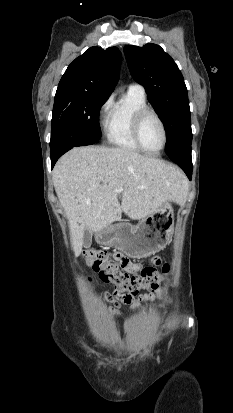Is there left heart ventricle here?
<instances>
[{
  "label": "left heart ventricle",
  "mask_w": 233,
  "mask_h": 413,
  "mask_svg": "<svg viewBox=\"0 0 233 413\" xmlns=\"http://www.w3.org/2000/svg\"><path fill=\"white\" fill-rule=\"evenodd\" d=\"M141 140L149 150L160 148L163 140L162 130L156 118L152 115L147 116L141 127Z\"/></svg>",
  "instance_id": "obj_1"
}]
</instances>
